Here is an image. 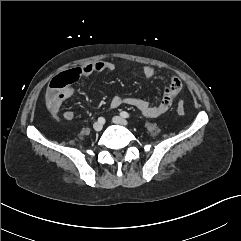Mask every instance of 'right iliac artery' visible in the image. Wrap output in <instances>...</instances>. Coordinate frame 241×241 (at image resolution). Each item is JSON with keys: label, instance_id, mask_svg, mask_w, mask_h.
<instances>
[{"label": "right iliac artery", "instance_id": "1", "mask_svg": "<svg viewBox=\"0 0 241 241\" xmlns=\"http://www.w3.org/2000/svg\"><path fill=\"white\" fill-rule=\"evenodd\" d=\"M98 122L104 123V122H105V119H104L103 117H99V118H98Z\"/></svg>", "mask_w": 241, "mask_h": 241}]
</instances>
